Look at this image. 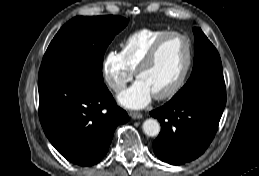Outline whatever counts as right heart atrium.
<instances>
[{"label":"right heart atrium","mask_w":259,"mask_h":176,"mask_svg":"<svg viewBox=\"0 0 259 176\" xmlns=\"http://www.w3.org/2000/svg\"><path fill=\"white\" fill-rule=\"evenodd\" d=\"M102 77L105 83L116 93L121 92L134 76L126 65L121 52L109 51L101 64Z\"/></svg>","instance_id":"right-heart-atrium-1"}]
</instances>
